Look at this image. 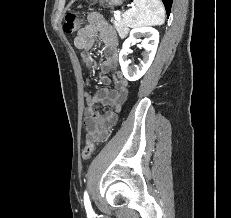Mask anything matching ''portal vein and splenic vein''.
I'll list each match as a JSON object with an SVG mask.
<instances>
[{
    "instance_id": "obj_1",
    "label": "portal vein and splenic vein",
    "mask_w": 231,
    "mask_h": 218,
    "mask_svg": "<svg viewBox=\"0 0 231 218\" xmlns=\"http://www.w3.org/2000/svg\"><path fill=\"white\" fill-rule=\"evenodd\" d=\"M115 19H116V20H119V19H121V16H120V14H116V15H115Z\"/></svg>"
}]
</instances>
